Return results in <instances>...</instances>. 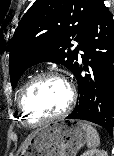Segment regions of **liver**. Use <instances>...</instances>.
<instances>
[{
    "instance_id": "6515ba94",
    "label": "liver",
    "mask_w": 114,
    "mask_h": 156,
    "mask_svg": "<svg viewBox=\"0 0 114 156\" xmlns=\"http://www.w3.org/2000/svg\"><path fill=\"white\" fill-rule=\"evenodd\" d=\"M34 133H32L31 135L28 136V138L23 142L20 150L23 152L25 150V148L27 147L29 141L31 140V138L33 137Z\"/></svg>"
}]
</instances>
